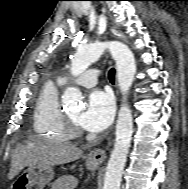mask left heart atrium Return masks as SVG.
I'll return each instance as SVG.
<instances>
[{"instance_id": "39dd6f15", "label": "left heart atrium", "mask_w": 188, "mask_h": 189, "mask_svg": "<svg viewBox=\"0 0 188 189\" xmlns=\"http://www.w3.org/2000/svg\"><path fill=\"white\" fill-rule=\"evenodd\" d=\"M114 114L112 96L102 90L92 91L87 105L80 113L77 122L80 126L91 132H101L112 122Z\"/></svg>"}]
</instances>
